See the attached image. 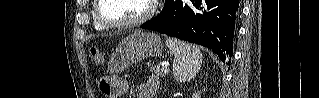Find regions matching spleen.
Listing matches in <instances>:
<instances>
[{"mask_svg":"<svg viewBox=\"0 0 319 98\" xmlns=\"http://www.w3.org/2000/svg\"><path fill=\"white\" fill-rule=\"evenodd\" d=\"M166 46L174 55L173 76L175 80L186 82L193 79L202 65L200 49L192 44L167 38Z\"/></svg>","mask_w":319,"mask_h":98,"instance_id":"spleen-1","label":"spleen"}]
</instances>
